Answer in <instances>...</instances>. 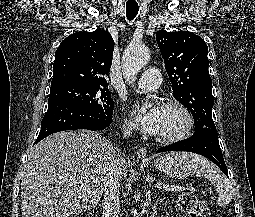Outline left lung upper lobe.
<instances>
[{"label": "left lung upper lobe", "mask_w": 255, "mask_h": 217, "mask_svg": "<svg viewBox=\"0 0 255 217\" xmlns=\"http://www.w3.org/2000/svg\"><path fill=\"white\" fill-rule=\"evenodd\" d=\"M156 41L164 58L176 100L192 113L195 131L215 128L212 119V81L205 41L188 31L159 30Z\"/></svg>", "instance_id": "obj_1"}]
</instances>
